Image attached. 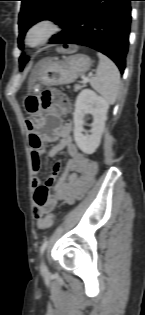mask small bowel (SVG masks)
<instances>
[{
  "instance_id": "1",
  "label": "small bowel",
  "mask_w": 145,
  "mask_h": 315,
  "mask_svg": "<svg viewBox=\"0 0 145 315\" xmlns=\"http://www.w3.org/2000/svg\"><path fill=\"white\" fill-rule=\"evenodd\" d=\"M28 127L33 128V124L28 122ZM71 123L65 124L58 135L59 141L49 149L48 154L55 157L62 151L66 150L69 159L66 162L64 171L59 176L61 164H55L52 174L47 179L46 184L42 185L38 177V172L42 167L43 142H49L53 139L52 131L44 129L40 138L31 134L28 140V147L32 148L31 169L33 172L32 187L35 190L34 200L37 205L34 207V218L40 229H47L53 223L44 224L41 227L43 216H53L51 213L56 204L60 201L73 203L82 199L91 189L98 175V165L92 161L87 155L78 151L77 146L73 143L71 136ZM54 183L53 197L49 199L48 187ZM54 218V216H53Z\"/></svg>"
}]
</instances>
